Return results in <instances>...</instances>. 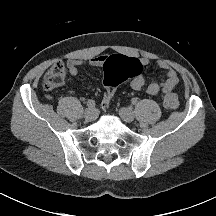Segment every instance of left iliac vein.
<instances>
[{
	"mask_svg": "<svg viewBox=\"0 0 216 216\" xmlns=\"http://www.w3.org/2000/svg\"><path fill=\"white\" fill-rule=\"evenodd\" d=\"M119 115L127 123H130L134 120V113L130 108H121L119 110Z\"/></svg>",
	"mask_w": 216,
	"mask_h": 216,
	"instance_id": "4c4485c4",
	"label": "left iliac vein"
}]
</instances>
